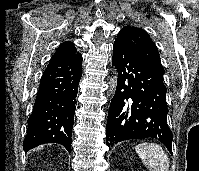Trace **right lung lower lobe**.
<instances>
[{
  "mask_svg": "<svg viewBox=\"0 0 199 171\" xmlns=\"http://www.w3.org/2000/svg\"><path fill=\"white\" fill-rule=\"evenodd\" d=\"M82 75V56L51 58L44 71L23 149L45 143H59L71 152V137L78 84Z\"/></svg>",
  "mask_w": 199,
  "mask_h": 171,
  "instance_id": "98d812e1",
  "label": "right lung lower lobe"
}]
</instances>
